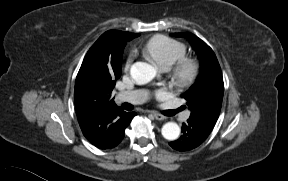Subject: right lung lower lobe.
<instances>
[{"instance_id":"1","label":"right lung lower lobe","mask_w":288,"mask_h":181,"mask_svg":"<svg viewBox=\"0 0 288 181\" xmlns=\"http://www.w3.org/2000/svg\"><path fill=\"white\" fill-rule=\"evenodd\" d=\"M136 115L135 112H129V113H123L120 119V123L118 125V140L116 145H114L113 147L117 146L123 139L124 135H125V129L128 127V125L130 124L132 118Z\"/></svg>"}]
</instances>
